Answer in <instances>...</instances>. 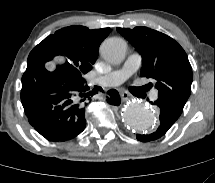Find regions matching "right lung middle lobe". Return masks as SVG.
<instances>
[{"label":"right lung middle lobe","mask_w":215,"mask_h":183,"mask_svg":"<svg viewBox=\"0 0 215 183\" xmlns=\"http://www.w3.org/2000/svg\"><path fill=\"white\" fill-rule=\"evenodd\" d=\"M62 58L65 60L64 67H67L76 79L84 80L83 76L92 69L95 63L89 60L82 51L71 49L62 50Z\"/></svg>","instance_id":"dd1d6c3e"}]
</instances>
